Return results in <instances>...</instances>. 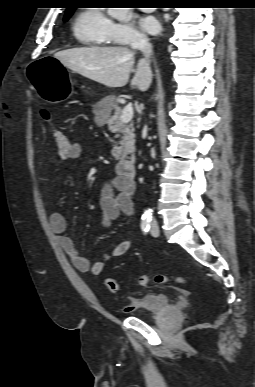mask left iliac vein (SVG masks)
<instances>
[{"label":"left iliac vein","mask_w":255,"mask_h":387,"mask_svg":"<svg viewBox=\"0 0 255 387\" xmlns=\"http://www.w3.org/2000/svg\"><path fill=\"white\" fill-rule=\"evenodd\" d=\"M151 234L152 236L154 237H157L159 235V228H158V225L157 223H152V227H151Z\"/></svg>","instance_id":"1"}]
</instances>
